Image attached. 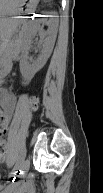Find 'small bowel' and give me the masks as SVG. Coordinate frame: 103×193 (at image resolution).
Segmentation results:
<instances>
[{"label": "small bowel", "instance_id": "1", "mask_svg": "<svg viewBox=\"0 0 103 193\" xmlns=\"http://www.w3.org/2000/svg\"><path fill=\"white\" fill-rule=\"evenodd\" d=\"M1 97H2L1 106L3 112L2 125L6 131L9 117L12 115L16 107V97L8 92H3ZM18 175L19 173L18 174L15 173L11 176V180H13L12 182L16 181L15 183L4 185V189L7 191V193L33 192L34 189L33 181L31 179L21 181Z\"/></svg>", "mask_w": 103, "mask_h": 193}]
</instances>
